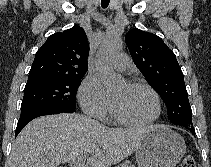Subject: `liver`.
Here are the masks:
<instances>
[{
    "label": "liver",
    "instance_id": "liver-1",
    "mask_svg": "<svg viewBox=\"0 0 211 167\" xmlns=\"http://www.w3.org/2000/svg\"><path fill=\"white\" fill-rule=\"evenodd\" d=\"M154 126L109 128L79 114L42 116L13 143L9 167H57L87 157V167H110L138 149Z\"/></svg>",
    "mask_w": 211,
    "mask_h": 167
}]
</instances>
